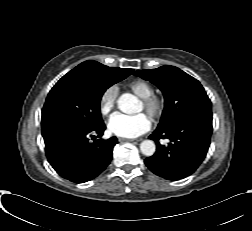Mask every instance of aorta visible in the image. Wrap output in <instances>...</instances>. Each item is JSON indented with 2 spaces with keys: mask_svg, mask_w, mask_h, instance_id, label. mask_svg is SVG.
Returning <instances> with one entry per match:
<instances>
[{
  "mask_svg": "<svg viewBox=\"0 0 252 231\" xmlns=\"http://www.w3.org/2000/svg\"><path fill=\"white\" fill-rule=\"evenodd\" d=\"M118 108L126 114H132L137 111L136 107L138 105V99L136 96L125 93L122 94L118 101ZM140 150L145 156H152L155 153L156 145L152 140H144L140 144Z\"/></svg>",
  "mask_w": 252,
  "mask_h": 231,
  "instance_id": "obj_1",
  "label": "aorta"
}]
</instances>
